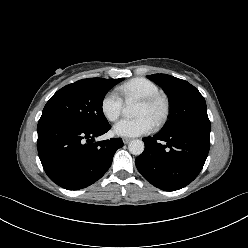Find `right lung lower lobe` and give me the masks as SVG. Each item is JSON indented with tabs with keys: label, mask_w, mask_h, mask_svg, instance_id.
Returning <instances> with one entry per match:
<instances>
[{
	"label": "right lung lower lobe",
	"mask_w": 248,
	"mask_h": 248,
	"mask_svg": "<svg viewBox=\"0 0 248 248\" xmlns=\"http://www.w3.org/2000/svg\"><path fill=\"white\" fill-rule=\"evenodd\" d=\"M111 128L108 123L85 127L68 120L38 123L37 148L48 177L68 190L85 188L100 179L111 166L121 138L95 142Z\"/></svg>",
	"instance_id": "right-lung-lower-lobe-1"
}]
</instances>
